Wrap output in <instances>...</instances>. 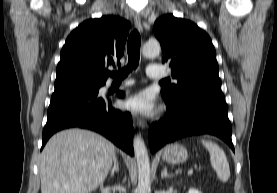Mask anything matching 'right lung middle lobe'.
Wrapping results in <instances>:
<instances>
[{"instance_id": "1", "label": "right lung middle lobe", "mask_w": 277, "mask_h": 193, "mask_svg": "<svg viewBox=\"0 0 277 193\" xmlns=\"http://www.w3.org/2000/svg\"><path fill=\"white\" fill-rule=\"evenodd\" d=\"M97 89H99V87H97V88H92V89H87V90H97Z\"/></svg>"}]
</instances>
